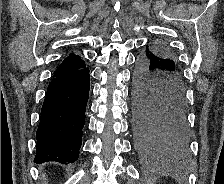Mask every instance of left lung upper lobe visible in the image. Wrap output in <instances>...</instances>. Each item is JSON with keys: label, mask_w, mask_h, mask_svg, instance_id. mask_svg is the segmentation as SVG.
Returning a JSON list of instances; mask_svg holds the SVG:
<instances>
[{"label": "left lung upper lobe", "mask_w": 224, "mask_h": 184, "mask_svg": "<svg viewBox=\"0 0 224 184\" xmlns=\"http://www.w3.org/2000/svg\"><path fill=\"white\" fill-rule=\"evenodd\" d=\"M150 50L156 56L160 57L161 59H164L166 61H170V62H172L176 65V56L166 45L158 44V45H155L153 47H150ZM175 73L178 74V75H181L179 68Z\"/></svg>", "instance_id": "left-lung-upper-lobe-1"}]
</instances>
